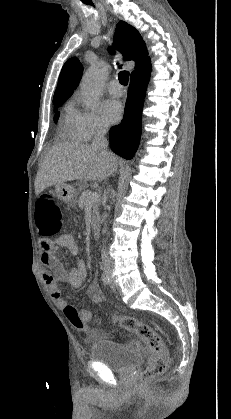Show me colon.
<instances>
[{"label": "colon", "mask_w": 231, "mask_h": 419, "mask_svg": "<svg viewBox=\"0 0 231 419\" xmlns=\"http://www.w3.org/2000/svg\"><path fill=\"white\" fill-rule=\"evenodd\" d=\"M35 220L36 228L41 236L52 237L59 232L63 217L61 209L53 195L42 194L38 198ZM64 314L76 329L87 331L84 317L75 306L67 305L64 308ZM112 321L122 329L134 333L149 347L152 354L151 362L139 378L140 387L149 386L168 367L169 357L162 338L150 325L132 316L113 315Z\"/></svg>", "instance_id": "colon-1"}]
</instances>
